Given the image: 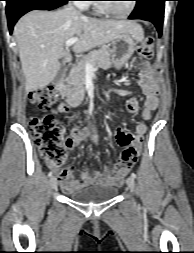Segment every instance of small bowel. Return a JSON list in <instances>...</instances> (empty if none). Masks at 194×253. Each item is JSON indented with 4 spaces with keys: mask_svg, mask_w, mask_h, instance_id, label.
I'll use <instances>...</instances> for the list:
<instances>
[{
    "mask_svg": "<svg viewBox=\"0 0 194 253\" xmlns=\"http://www.w3.org/2000/svg\"><path fill=\"white\" fill-rule=\"evenodd\" d=\"M139 79L145 95L142 101V106H140L139 102L134 100L133 97H128L126 109L132 114L141 112L142 118L144 120H149L152 112L159 106L158 85L151 76L147 64L140 71ZM147 131L148 126L145 122H140L136 126L134 133L123 128H117L115 130L116 142L119 146L125 147L126 149L134 148L139 155L142 148L143 137ZM86 139L92 140L94 144L98 143V134L95 127L88 130H77L72 136L65 139V146L69 150H73ZM47 163L57 174L60 186L65 193H72L77 189L94 183L118 185L123 181L124 176L130 170V168H128L123 170L119 175H115L106 167L103 172L96 171L93 174H90L88 170L85 169L82 171L80 178H76L73 175V168L71 166L60 168L49 162Z\"/></svg>",
    "mask_w": 194,
    "mask_h": 253,
    "instance_id": "obj_1",
    "label": "small bowel"
}]
</instances>
